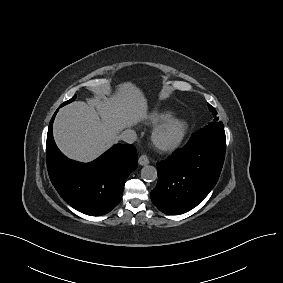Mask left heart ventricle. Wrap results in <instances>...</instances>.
<instances>
[{"mask_svg":"<svg viewBox=\"0 0 283 283\" xmlns=\"http://www.w3.org/2000/svg\"><path fill=\"white\" fill-rule=\"evenodd\" d=\"M172 136H173V131H168L162 136V139L167 140V139L171 138Z\"/></svg>","mask_w":283,"mask_h":283,"instance_id":"obj_1","label":"left heart ventricle"}]
</instances>
